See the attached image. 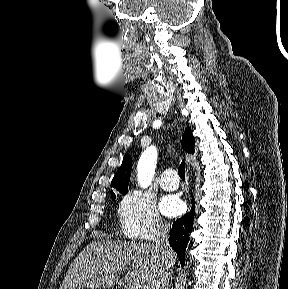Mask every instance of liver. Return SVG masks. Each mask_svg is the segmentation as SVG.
<instances>
[{
	"label": "liver",
	"mask_w": 288,
	"mask_h": 289,
	"mask_svg": "<svg viewBox=\"0 0 288 289\" xmlns=\"http://www.w3.org/2000/svg\"><path fill=\"white\" fill-rule=\"evenodd\" d=\"M176 254L173 252L175 264ZM127 270L121 279L122 271ZM164 264L154 246L111 240L91 242L70 265L61 289H167Z\"/></svg>",
	"instance_id": "1"
}]
</instances>
